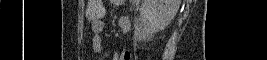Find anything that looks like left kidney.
<instances>
[{"instance_id":"obj_1","label":"left kidney","mask_w":267,"mask_h":60,"mask_svg":"<svg viewBox=\"0 0 267 60\" xmlns=\"http://www.w3.org/2000/svg\"><path fill=\"white\" fill-rule=\"evenodd\" d=\"M179 0H146L141 6V19L153 32L165 29L179 9Z\"/></svg>"}]
</instances>
